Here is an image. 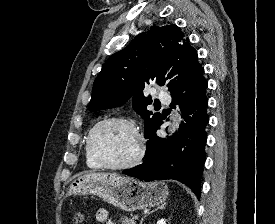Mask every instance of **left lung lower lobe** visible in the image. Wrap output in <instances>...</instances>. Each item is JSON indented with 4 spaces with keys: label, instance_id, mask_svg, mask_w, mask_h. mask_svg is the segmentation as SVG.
Segmentation results:
<instances>
[{
    "label": "left lung lower lobe",
    "instance_id": "obj_1",
    "mask_svg": "<svg viewBox=\"0 0 275 224\" xmlns=\"http://www.w3.org/2000/svg\"><path fill=\"white\" fill-rule=\"evenodd\" d=\"M204 68L195 72L171 93L173 103H178L183 116L178 132L168 139L156 135L162 119L147 134L145 160L124 174L146 182L175 179L190 187L199 198L201 174L205 163L206 113L208 87L203 77Z\"/></svg>",
    "mask_w": 275,
    "mask_h": 224
}]
</instances>
